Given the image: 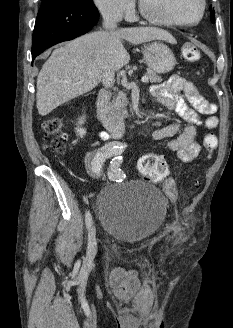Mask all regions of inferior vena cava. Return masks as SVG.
<instances>
[{"mask_svg": "<svg viewBox=\"0 0 233 328\" xmlns=\"http://www.w3.org/2000/svg\"><path fill=\"white\" fill-rule=\"evenodd\" d=\"M103 27L105 29L114 30L117 28L118 15L116 13L112 14L110 12H103ZM115 69L114 66L107 62L105 64L103 74H102V83L105 87H112L115 82Z\"/></svg>", "mask_w": 233, "mask_h": 328, "instance_id": "602c4592", "label": "inferior vena cava"}]
</instances>
